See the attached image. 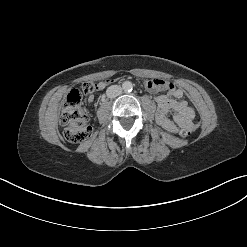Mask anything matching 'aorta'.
<instances>
[{
    "label": "aorta",
    "mask_w": 247,
    "mask_h": 247,
    "mask_svg": "<svg viewBox=\"0 0 247 247\" xmlns=\"http://www.w3.org/2000/svg\"><path fill=\"white\" fill-rule=\"evenodd\" d=\"M122 88H123L124 91H128L129 92V91L132 90L133 85H132V83L130 81H125L122 84Z\"/></svg>",
    "instance_id": "1"
}]
</instances>
